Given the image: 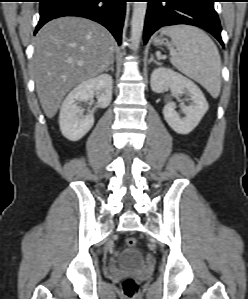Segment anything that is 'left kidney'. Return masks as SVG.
I'll return each mask as SVG.
<instances>
[{
  "label": "left kidney",
  "mask_w": 248,
  "mask_h": 299,
  "mask_svg": "<svg viewBox=\"0 0 248 299\" xmlns=\"http://www.w3.org/2000/svg\"><path fill=\"white\" fill-rule=\"evenodd\" d=\"M151 89L161 93L169 88L174 94H187L190 105H183L185 114L181 117L175 111V104L168 103L163 108V115L168 125L178 134H189L200 122L209 106L199 87L187 77L167 68H157L151 74Z\"/></svg>",
  "instance_id": "obj_1"
}]
</instances>
